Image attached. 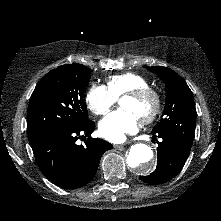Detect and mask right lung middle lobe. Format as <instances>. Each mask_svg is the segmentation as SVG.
I'll return each mask as SVG.
<instances>
[{"instance_id": "obj_1", "label": "right lung middle lobe", "mask_w": 221, "mask_h": 221, "mask_svg": "<svg viewBox=\"0 0 221 221\" xmlns=\"http://www.w3.org/2000/svg\"><path fill=\"white\" fill-rule=\"evenodd\" d=\"M91 69L74 63L47 73L35 87L28 106L29 141L55 131L70 130L88 120L83 100Z\"/></svg>"}]
</instances>
